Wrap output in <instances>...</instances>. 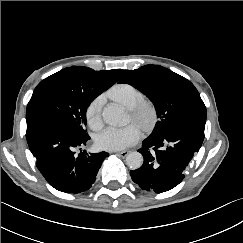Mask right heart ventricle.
Listing matches in <instances>:
<instances>
[{"label": "right heart ventricle", "instance_id": "e07e8e85", "mask_svg": "<svg viewBox=\"0 0 243 243\" xmlns=\"http://www.w3.org/2000/svg\"><path fill=\"white\" fill-rule=\"evenodd\" d=\"M108 95L128 108L133 107L145 98L144 93L139 88L129 83L114 85L109 89Z\"/></svg>", "mask_w": 243, "mask_h": 243}]
</instances>
